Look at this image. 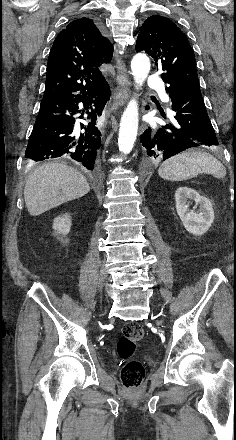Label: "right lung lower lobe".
<instances>
[{"label":"right lung lower lobe","mask_w":236,"mask_h":440,"mask_svg":"<svg viewBox=\"0 0 236 440\" xmlns=\"http://www.w3.org/2000/svg\"><path fill=\"white\" fill-rule=\"evenodd\" d=\"M109 98L106 81L85 92L44 97L25 157L36 162L65 159L94 173L101 144V133L95 124Z\"/></svg>","instance_id":"obj_1"}]
</instances>
